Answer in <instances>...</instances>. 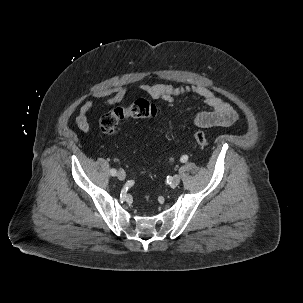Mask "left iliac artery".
<instances>
[{
    "label": "left iliac artery",
    "instance_id": "44dca946",
    "mask_svg": "<svg viewBox=\"0 0 303 303\" xmlns=\"http://www.w3.org/2000/svg\"><path fill=\"white\" fill-rule=\"evenodd\" d=\"M180 161H181L182 163L187 162V161H188V156H187V155H183V156L181 157Z\"/></svg>",
    "mask_w": 303,
    "mask_h": 303
}]
</instances>
